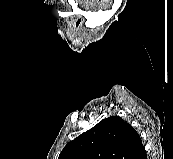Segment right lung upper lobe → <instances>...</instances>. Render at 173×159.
I'll list each match as a JSON object with an SVG mask.
<instances>
[{
    "label": "right lung upper lobe",
    "instance_id": "right-lung-upper-lobe-1",
    "mask_svg": "<svg viewBox=\"0 0 173 159\" xmlns=\"http://www.w3.org/2000/svg\"><path fill=\"white\" fill-rule=\"evenodd\" d=\"M144 153L137 131L111 116L67 143L58 159H140Z\"/></svg>",
    "mask_w": 173,
    "mask_h": 159
}]
</instances>
